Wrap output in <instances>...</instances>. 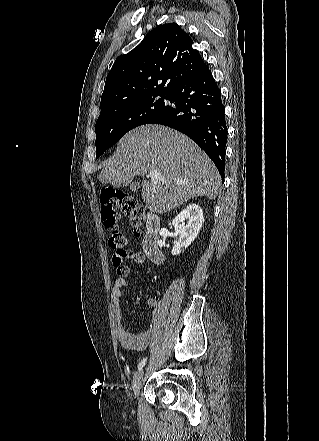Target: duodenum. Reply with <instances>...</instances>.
<instances>
[{
    "label": "duodenum",
    "mask_w": 319,
    "mask_h": 441,
    "mask_svg": "<svg viewBox=\"0 0 319 441\" xmlns=\"http://www.w3.org/2000/svg\"><path fill=\"white\" fill-rule=\"evenodd\" d=\"M160 227L161 224L159 217L151 212L147 213L143 249L148 259L156 264L163 261V253L159 245Z\"/></svg>",
    "instance_id": "obj_1"
}]
</instances>
